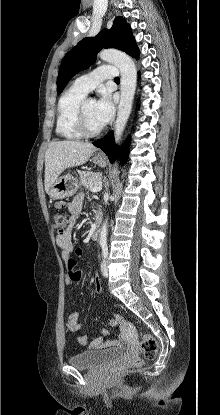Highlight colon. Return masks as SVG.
<instances>
[{"instance_id": "colon-1", "label": "colon", "mask_w": 220, "mask_h": 415, "mask_svg": "<svg viewBox=\"0 0 220 415\" xmlns=\"http://www.w3.org/2000/svg\"><path fill=\"white\" fill-rule=\"evenodd\" d=\"M60 208H66V202L62 201L58 203ZM54 228L58 233H62L68 226L69 219L66 214L57 213L53 217ZM81 250L76 251L77 255H80ZM68 266L70 268V278L74 282H79L81 279V272L76 269L77 260L74 257H70L68 260ZM141 351L145 359H153L158 352V344L156 339L150 334L141 335ZM143 364V359L140 357H134L123 361L119 368L120 370H134L140 368Z\"/></svg>"}]
</instances>
